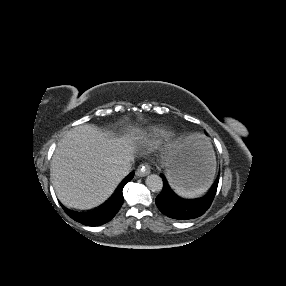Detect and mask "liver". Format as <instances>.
<instances>
[{
    "label": "liver",
    "instance_id": "6515ba94",
    "mask_svg": "<svg viewBox=\"0 0 286 286\" xmlns=\"http://www.w3.org/2000/svg\"><path fill=\"white\" fill-rule=\"evenodd\" d=\"M194 136L204 138L200 134ZM143 138L136 130L110 138L87 124L68 131L58 142L51 161V180L59 200L80 210L103 203L122 180L115 172L116 167L133 158L136 143ZM182 141L169 145L168 153Z\"/></svg>",
    "mask_w": 286,
    "mask_h": 286
}]
</instances>
